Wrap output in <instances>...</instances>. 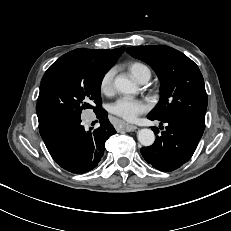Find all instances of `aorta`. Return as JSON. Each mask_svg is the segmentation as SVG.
<instances>
[{
    "label": "aorta",
    "instance_id": "1",
    "mask_svg": "<svg viewBox=\"0 0 231 231\" xmlns=\"http://www.w3.org/2000/svg\"><path fill=\"white\" fill-rule=\"evenodd\" d=\"M115 88L124 94H135L137 92V86L128 78L123 75H118L114 80ZM138 141L143 146H151L155 141V134L151 129H141L137 134Z\"/></svg>",
    "mask_w": 231,
    "mask_h": 231
}]
</instances>
